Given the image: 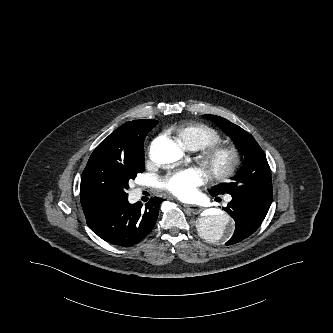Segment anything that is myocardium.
<instances>
[{
    "instance_id": "f54148a6",
    "label": "myocardium",
    "mask_w": 333,
    "mask_h": 333,
    "mask_svg": "<svg viewBox=\"0 0 333 333\" xmlns=\"http://www.w3.org/2000/svg\"><path fill=\"white\" fill-rule=\"evenodd\" d=\"M241 152L234 145H214L205 148L201 162L207 171L216 179L231 176L240 166Z\"/></svg>"
}]
</instances>
